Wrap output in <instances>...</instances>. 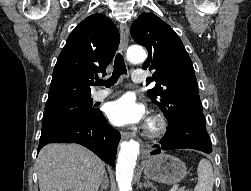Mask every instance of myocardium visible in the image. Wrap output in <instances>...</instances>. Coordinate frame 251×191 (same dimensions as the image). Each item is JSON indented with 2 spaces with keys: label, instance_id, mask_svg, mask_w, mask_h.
Returning <instances> with one entry per match:
<instances>
[{
  "label": "myocardium",
  "instance_id": "obj_1",
  "mask_svg": "<svg viewBox=\"0 0 251 191\" xmlns=\"http://www.w3.org/2000/svg\"><path fill=\"white\" fill-rule=\"evenodd\" d=\"M166 128L167 124L162 118L154 117L147 124L146 135L148 138H157L165 132Z\"/></svg>",
  "mask_w": 251,
  "mask_h": 191
}]
</instances>
